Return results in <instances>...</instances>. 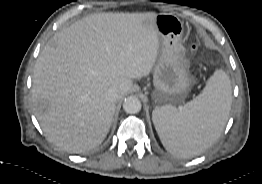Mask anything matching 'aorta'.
<instances>
[{
	"label": "aorta",
	"instance_id": "1",
	"mask_svg": "<svg viewBox=\"0 0 262 184\" xmlns=\"http://www.w3.org/2000/svg\"><path fill=\"white\" fill-rule=\"evenodd\" d=\"M123 109L128 114H135L141 110V102L135 96H130L124 100Z\"/></svg>",
	"mask_w": 262,
	"mask_h": 184
}]
</instances>
